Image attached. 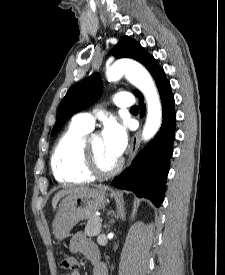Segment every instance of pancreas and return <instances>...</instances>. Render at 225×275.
Returning a JSON list of instances; mask_svg holds the SVG:
<instances>
[{"label": "pancreas", "mask_w": 225, "mask_h": 275, "mask_svg": "<svg viewBox=\"0 0 225 275\" xmlns=\"http://www.w3.org/2000/svg\"><path fill=\"white\" fill-rule=\"evenodd\" d=\"M98 216L92 215L85 226V233L90 236H98L101 232V222L98 220Z\"/></svg>", "instance_id": "cf45deb5"}]
</instances>
